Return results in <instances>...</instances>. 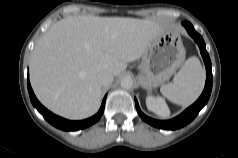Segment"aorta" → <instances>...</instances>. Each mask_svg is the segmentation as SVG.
Masks as SVG:
<instances>
[{
    "instance_id": "aorta-1",
    "label": "aorta",
    "mask_w": 238,
    "mask_h": 158,
    "mask_svg": "<svg viewBox=\"0 0 238 158\" xmlns=\"http://www.w3.org/2000/svg\"><path fill=\"white\" fill-rule=\"evenodd\" d=\"M133 86V80L131 77H124L121 80V87L124 89H131Z\"/></svg>"
}]
</instances>
